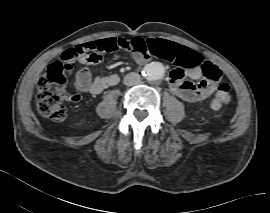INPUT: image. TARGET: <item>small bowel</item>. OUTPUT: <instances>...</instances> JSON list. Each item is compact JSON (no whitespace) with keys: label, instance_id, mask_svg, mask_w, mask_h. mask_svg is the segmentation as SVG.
I'll return each mask as SVG.
<instances>
[{"label":"small bowel","instance_id":"obj_1","mask_svg":"<svg viewBox=\"0 0 270 213\" xmlns=\"http://www.w3.org/2000/svg\"><path fill=\"white\" fill-rule=\"evenodd\" d=\"M114 41L115 39L108 38L85 41L76 45L82 50L78 59L82 67L77 71L75 79V87L78 91L97 95L106 88L118 83L119 77L116 74L93 76L86 68L89 65L101 63L107 52L114 51ZM148 54L174 63L175 67L168 74L169 85L171 91L183 100L198 102L212 93L213 85L203 76L201 70L202 60L197 52L176 42L158 38L153 41ZM144 58L145 56L142 54H135L134 56L137 64H142ZM185 77L198 82L185 80ZM76 96L78 99L75 101H78L80 97Z\"/></svg>","mask_w":270,"mask_h":213}]
</instances>
